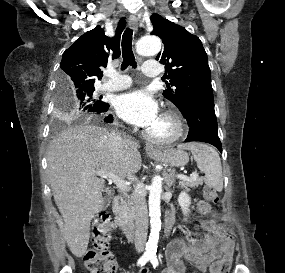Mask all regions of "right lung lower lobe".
<instances>
[{"instance_id": "right-lung-lower-lobe-1", "label": "right lung lower lobe", "mask_w": 285, "mask_h": 273, "mask_svg": "<svg viewBox=\"0 0 285 273\" xmlns=\"http://www.w3.org/2000/svg\"><path fill=\"white\" fill-rule=\"evenodd\" d=\"M108 108H109V104L103 102V104L98 108V111L96 112V114H100V113L106 112L108 110ZM104 120L106 122H112V120H113L112 115H109Z\"/></svg>"}]
</instances>
